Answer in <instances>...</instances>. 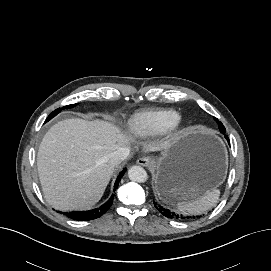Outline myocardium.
Segmentation results:
<instances>
[{"label":"myocardium","instance_id":"f54148a6","mask_svg":"<svg viewBox=\"0 0 271 271\" xmlns=\"http://www.w3.org/2000/svg\"><path fill=\"white\" fill-rule=\"evenodd\" d=\"M185 128V120L184 118H182L181 116H178L174 121L173 123L171 124V126L169 127V131L172 133V134H175V135H178L180 133L183 132Z\"/></svg>","mask_w":271,"mask_h":271}]
</instances>
